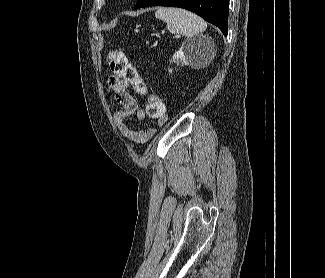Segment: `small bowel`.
Listing matches in <instances>:
<instances>
[{
  "label": "small bowel",
  "instance_id": "c3829d8e",
  "mask_svg": "<svg viewBox=\"0 0 325 278\" xmlns=\"http://www.w3.org/2000/svg\"><path fill=\"white\" fill-rule=\"evenodd\" d=\"M108 86L114 93L115 100L121 106V108L115 113L114 121L121 129L123 135L136 145L145 144L154 134L153 128H147L144 130L134 129L129 121L131 117H135L141 121L145 118V112L139 107L136 99L129 93L130 83L124 81L116 76L108 78ZM165 120H159L163 123Z\"/></svg>",
  "mask_w": 325,
  "mask_h": 278
}]
</instances>
